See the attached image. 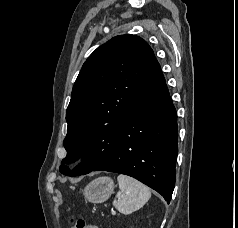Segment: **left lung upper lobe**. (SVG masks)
Segmentation results:
<instances>
[{"instance_id": "5c2ea615", "label": "left lung upper lobe", "mask_w": 238, "mask_h": 228, "mask_svg": "<svg viewBox=\"0 0 238 228\" xmlns=\"http://www.w3.org/2000/svg\"><path fill=\"white\" fill-rule=\"evenodd\" d=\"M156 58L151 47L135 35H120L98 47L85 61L74 83L66 111L67 151L62 163L83 161L72 176L90 172L115 151L120 128L132 111Z\"/></svg>"}]
</instances>
